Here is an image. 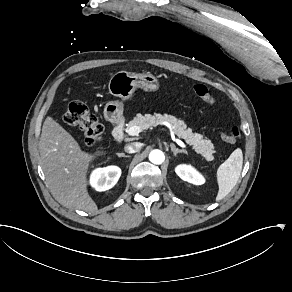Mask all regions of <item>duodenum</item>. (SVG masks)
<instances>
[{
  "mask_svg": "<svg viewBox=\"0 0 292 292\" xmlns=\"http://www.w3.org/2000/svg\"><path fill=\"white\" fill-rule=\"evenodd\" d=\"M113 140L119 144L124 140L125 137V126L123 122H118L112 131Z\"/></svg>",
  "mask_w": 292,
  "mask_h": 292,
  "instance_id": "410a0bca",
  "label": "duodenum"
}]
</instances>
